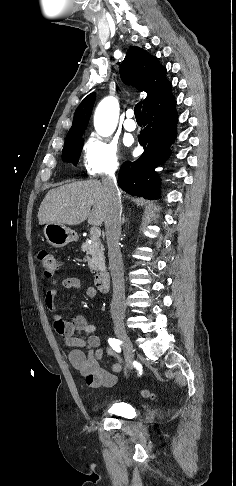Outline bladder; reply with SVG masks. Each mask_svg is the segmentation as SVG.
Listing matches in <instances>:
<instances>
[{"mask_svg": "<svg viewBox=\"0 0 236 486\" xmlns=\"http://www.w3.org/2000/svg\"><path fill=\"white\" fill-rule=\"evenodd\" d=\"M135 407L128 403V402H116L109 406L108 412L110 414L123 417V418H131L135 414Z\"/></svg>", "mask_w": 236, "mask_h": 486, "instance_id": "obj_1", "label": "bladder"}]
</instances>
